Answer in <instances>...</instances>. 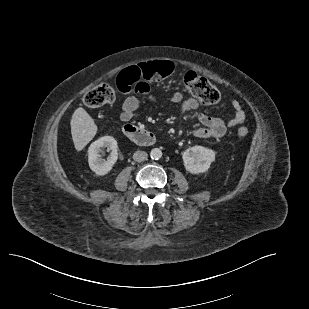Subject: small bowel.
Wrapping results in <instances>:
<instances>
[{
  "label": "small bowel",
  "mask_w": 309,
  "mask_h": 309,
  "mask_svg": "<svg viewBox=\"0 0 309 309\" xmlns=\"http://www.w3.org/2000/svg\"><path fill=\"white\" fill-rule=\"evenodd\" d=\"M117 84L120 88L124 87L129 89L125 92H135V95L128 96L122 103L120 119L123 122L132 121L136 117L137 110L143 103H156L160 101L150 93L148 84H144L142 87L135 89V84H132L131 79L127 75L122 76L120 73L117 77ZM164 101L177 104L180 112L193 111L199 107V102L196 98L190 97L185 99L182 93L178 91L171 93ZM231 106L235 114L228 121L199 112L197 118L202 126L194 129L193 135L197 138H220L226 133L228 128H233L242 124L245 120V113L240 102L233 99L231 101Z\"/></svg>",
  "instance_id": "small-bowel-1"
}]
</instances>
